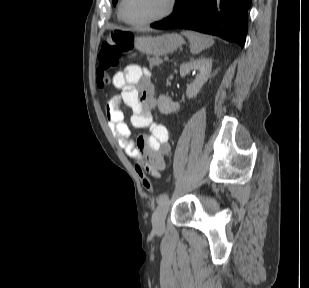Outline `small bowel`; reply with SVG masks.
Here are the masks:
<instances>
[{
    "label": "small bowel",
    "instance_id": "obj_1",
    "mask_svg": "<svg viewBox=\"0 0 309 288\" xmlns=\"http://www.w3.org/2000/svg\"><path fill=\"white\" fill-rule=\"evenodd\" d=\"M114 85L120 92L107 101V124L126 155L141 163L147 173L159 177L171 145L167 127L153 121L157 100L150 75L138 65H128L115 75ZM124 105L132 110L131 124L136 128H148L149 135L137 140L130 137L129 126L121 112Z\"/></svg>",
    "mask_w": 309,
    "mask_h": 288
}]
</instances>
